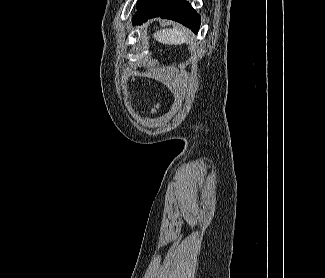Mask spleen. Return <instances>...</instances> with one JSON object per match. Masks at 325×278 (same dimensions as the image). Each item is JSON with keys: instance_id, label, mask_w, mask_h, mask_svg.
<instances>
[{"instance_id": "1", "label": "spleen", "mask_w": 325, "mask_h": 278, "mask_svg": "<svg viewBox=\"0 0 325 278\" xmlns=\"http://www.w3.org/2000/svg\"><path fill=\"white\" fill-rule=\"evenodd\" d=\"M157 41L168 45L184 44L188 40L187 30L177 27L174 29H163L153 35Z\"/></svg>"}]
</instances>
